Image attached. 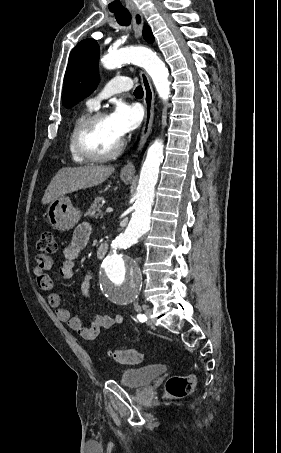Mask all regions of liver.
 I'll list each match as a JSON object with an SVG mask.
<instances>
[{
    "instance_id": "liver-1",
    "label": "liver",
    "mask_w": 281,
    "mask_h": 453,
    "mask_svg": "<svg viewBox=\"0 0 281 453\" xmlns=\"http://www.w3.org/2000/svg\"><path fill=\"white\" fill-rule=\"evenodd\" d=\"M115 166H63L56 172L50 184H48L42 198V204L51 202L54 198H59L67 192H74L79 188H90L106 180L114 172Z\"/></svg>"
}]
</instances>
